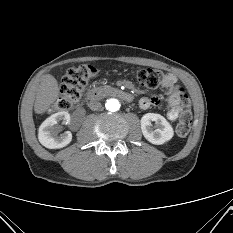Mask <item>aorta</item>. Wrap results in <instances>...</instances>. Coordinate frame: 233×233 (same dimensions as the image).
I'll return each mask as SVG.
<instances>
[{
	"label": "aorta",
	"instance_id": "aorta-1",
	"mask_svg": "<svg viewBox=\"0 0 233 233\" xmlns=\"http://www.w3.org/2000/svg\"><path fill=\"white\" fill-rule=\"evenodd\" d=\"M105 107L111 112H116L120 109V103L117 99L111 98L107 100Z\"/></svg>",
	"mask_w": 233,
	"mask_h": 233
}]
</instances>
